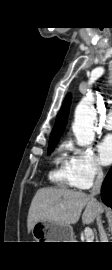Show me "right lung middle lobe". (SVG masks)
Listing matches in <instances>:
<instances>
[{"label":"right lung middle lobe","mask_w":112,"mask_h":270,"mask_svg":"<svg viewBox=\"0 0 112 270\" xmlns=\"http://www.w3.org/2000/svg\"><path fill=\"white\" fill-rule=\"evenodd\" d=\"M58 142L49 143L48 154L54 150Z\"/></svg>","instance_id":"right-lung-middle-lobe-1"}]
</instances>
